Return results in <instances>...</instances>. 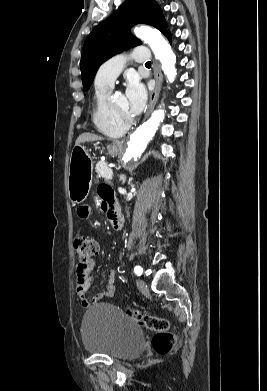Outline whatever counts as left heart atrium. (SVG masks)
Returning <instances> with one entry per match:
<instances>
[{
	"label": "left heart atrium",
	"mask_w": 267,
	"mask_h": 391,
	"mask_svg": "<svg viewBox=\"0 0 267 391\" xmlns=\"http://www.w3.org/2000/svg\"><path fill=\"white\" fill-rule=\"evenodd\" d=\"M125 98L127 108L132 116L138 115L146 103V90L136 78H130L127 83Z\"/></svg>",
	"instance_id": "obj_1"
}]
</instances>
